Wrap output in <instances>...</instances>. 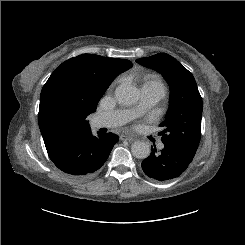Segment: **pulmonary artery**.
I'll use <instances>...</instances> for the list:
<instances>
[{
	"instance_id": "obj_1",
	"label": "pulmonary artery",
	"mask_w": 245,
	"mask_h": 245,
	"mask_svg": "<svg viewBox=\"0 0 245 245\" xmlns=\"http://www.w3.org/2000/svg\"><path fill=\"white\" fill-rule=\"evenodd\" d=\"M163 97L160 92L141 89V102L137 107L99 113L95 118V125L110 128L126 124L142 110L156 105ZM159 147L164 148V145L160 143Z\"/></svg>"
}]
</instances>
